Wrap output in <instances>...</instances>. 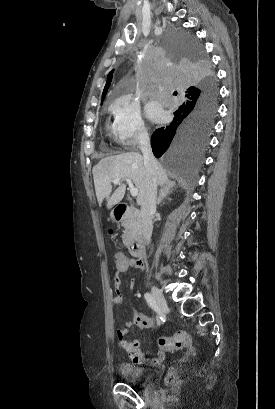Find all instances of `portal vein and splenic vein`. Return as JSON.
<instances>
[{
	"label": "portal vein and splenic vein",
	"instance_id": "obj_1",
	"mask_svg": "<svg viewBox=\"0 0 275 409\" xmlns=\"http://www.w3.org/2000/svg\"><path fill=\"white\" fill-rule=\"evenodd\" d=\"M120 180L121 178H113L112 182H114V184H119ZM123 180H126L127 184H129V188H130V192L132 196H137L138 188H135V186H133V182L131 178H123Z\"/></svg>",
	"mask_w": 275,
	"mask_h": 409
}]
</instances>
